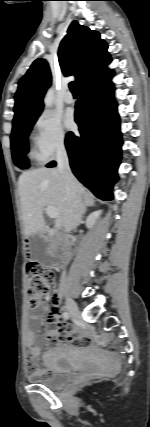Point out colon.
Here are the masks:
<instances>
[{"label": "colon", "instance_id": "obj_1", "mask_svg": "<svg viewBox=\"0 0 150 427\" xmlns=\"http://www.w3.org/2000/svg\"><path fill=\"white\" fill-rule=\"evenodd\" d=\"M28 278L27 294L32 304L47 296L55 282V273L44 268L40 263L29 261L26 265Z\"/></svg>", "mask_w": 150, "mask_h": 427}]
</instances>
